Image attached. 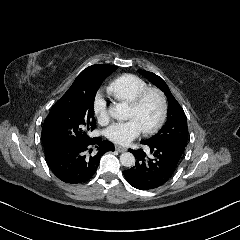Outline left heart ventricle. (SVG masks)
I'll list each match as a JSON object with an SVG mask.
<instances>
[{
	"mask_svg": "<svg viewBox=\"0 0 240 240\" xmlns=\"http://www.w3.org/2000/svg\"><path fill=\"white\" fill-rule=\"evenodd\" d=\"M160 114V104L156 95L148 94L139 108L132 110L127 108L125 119H134L141 129L152 127L158 120Z\"/></svg>",
	"mask_w": 240,
	"mask_h": 240,
	"instance_id": "b2bd125f",
	"label": "left heart ventricle"
}]
</instances>
